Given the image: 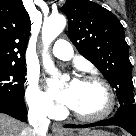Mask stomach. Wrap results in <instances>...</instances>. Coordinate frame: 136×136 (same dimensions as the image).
<instances>
[{
  "instance_id": "obj_1",
  "label": "stomach",
  "mask_w": 136,
  "mask_h": 136,
  "mask_svg": "<svg viewBox=\"0 0 136 136\" xmlns=\"http://www.w3.org/2000/svg\"><path fill=\"white\" fill-rule=\"evenodd\" d=\"M58 136H114V135L103 130H87L81 132L79 135H74L72 133H63V134H59Z\"/></svg>"
}]
</instances>
